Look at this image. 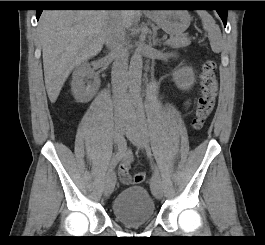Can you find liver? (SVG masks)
Wrapping results in <instances>:
<instances>
[{
	"label": "liver",
	"instance_id": "1",
	"mask_svg": "<svg viewBox=\"0 0 265 245\" xmlns=\"http://www.w3.org/2000/svg\"><path fill=\"white\" fill-rule=\"evenodd\" d=\"M115 12L108 10H45L39 20L45 86L54 103L72 69L96 56L105 42V30ZM125 28L135 12H120Z\"/></svg>",
	"mask_w": 265,
	"mask_h": 245
}]
</instances>
